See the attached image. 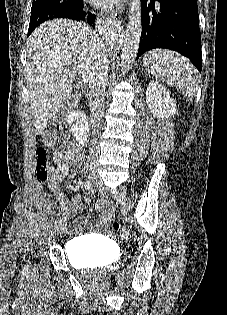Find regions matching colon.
<instances>
[{
    "mask_svg": "<svg viewBox=\"0 0 227 315\" xmlns=\"http://www.w3.org/2000/svg\"><path fill=\"white\" fill-rule=\"evenodd\" d=\"M68 140L69 132L67 127L62 124H53L48 128L43 138V144L50 149L62 151L66 149ZM35 161L34 179L39 183H44L49 177L51 168L47 153L43 148L36 150ZM109 225L114 232H120L122 235L129 233L122 228L117 219H110Z\"/></svg>",
    "mask_w": 227,
    "mask_h": 315,
    "instance_id": "obj_1",
    "label": "colon"
}]
</instances>
